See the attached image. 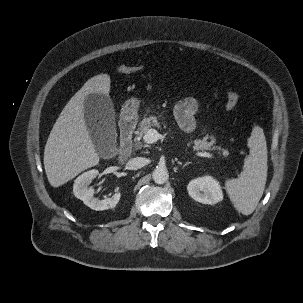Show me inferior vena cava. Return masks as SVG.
Returning <instances> with one entry per match:
<instances>
[{"mask_svg": "<svg viewBox=\"0 0 303 303\" xmlns=\"http://www.w3.org/2000/svg\"><path fill=\"white\" fill-rule=\"evenodd\" d=\"M146 159L143 157H136V158H132L130 159L127 163H126V168L129 170H138L140 168H142L143 166L146 165Z\"/></svg>", "mask_w": 303, "mask_h": 303, "instance_id": "602c4592", "label": "inferior vena cava"}]
</instances>
